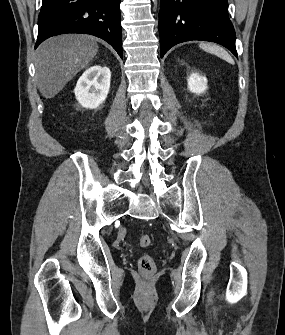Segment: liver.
Here are the masks:
<instances>
[{
    "label": "liver",
    "instance_id": "1",
    "mask_svg": "<svg viewBox=\"0 0 285 335\" xmlns=\"http://www.w3.org/2000/svg\"><path fill=\"white\" fill-rule=\"evenodd\" d=\"M98 52L93 36L64 34L43 42L36 50L35 78L43 98H54Z\"/></svg>",
    "mask_w": 285,
    "mask_h": 335
}]
</instances>
